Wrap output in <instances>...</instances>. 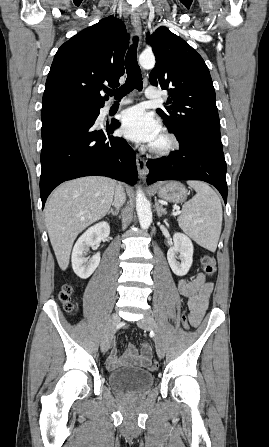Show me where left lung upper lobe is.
Listing matches in <instances>:
<instances>
[{
	"label": "left lung upper lobe",
	"mask_w": 269,
	"mask_h": 447,
	"mask_svg": "<svg viewBox=\"0 0 269 447\" xmlns=\"http://www.w3.org/2000/svg\"><path fill=\"white\" fill-rule=\"evenodd\" d=\"M156 56L150 83L169 91L165 109H157L179 143L201 136L221 140L212 79L202 57L169 29L159 27L147 35Z\"/></svg>",
	"instance_id": "5c2ea615"
}]
</instances>
